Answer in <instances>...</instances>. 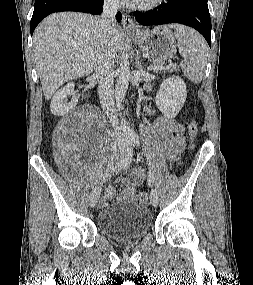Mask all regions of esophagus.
I'll return each instance as SVG.
<instances>
[{"label": "esophagus", "instance_id": "obj_1", "mask_svg": "<svg viewBox=\"0 0 253 285\" xmlns=\"http://www.w3.org/2000/svg\"><path fill=\"white\" fill-rule=\"evenodd\" d=\"M122 25L124 30L126 31H134L137 29V26L135 25L133 18L127 13L123 15Z\"/></svg>", "mask_w": 253, "mask_h": 285}]
</instances>
